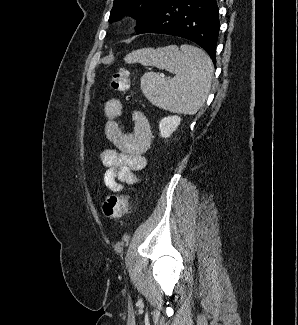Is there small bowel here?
I'll return each mask as SVG.
<instances>
[{
	"label": "small bowel",
	"mask_w": 298,
	"mask_h": 325,
	"mask_svg": "<svg viewBox=\"0 0 298 325\" xmlns=\"http://www.w3.org/2000/svg\"><path fill=\"white\" fill-rule=\"evenodd\" d=\"M121 113L122 103L118 98H111L105 103V134L116 147L105 149L101 153V161L106 167L103 183L111 192H120L125 184L141 182L137 173L146 166L144 154L152 141L150 124L143 113H133L134 127L131 133L124 132L117 122Z\"/></svg>",
	"instance_id": "c3829d8e"
}]
</instances>
